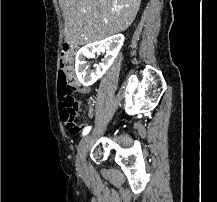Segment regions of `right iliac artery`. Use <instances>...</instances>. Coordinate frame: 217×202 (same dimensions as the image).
Returning a JSON list of instances; mask_svg holds the SVG:
<instances>
[{
	"label": "right iliac artery",
	"instance_id": "1",
	"mask_svg": "<svg viewBox=\"0 0 217 202\" xmlns=\"http://www.w3.org/2000/svg\"><path fill=\"white\" fill-rule=\"evenodd\" d=\"M90 130H91V126L85 127L84 130H83V136H85L86 134H88L90 132Z\"/></svg>",
	"mask_w": 217,
	"mask_h": 202
}]
</instances>
